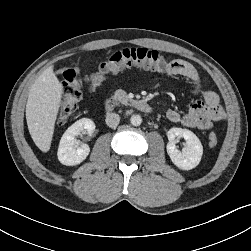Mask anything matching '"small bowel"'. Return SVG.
<instances>
[{
	"label": "small bowel",
	"mask_w": 251,
	"mask_h": 251,
	"mask_svg": "<svg viewBox=\"0 0 251 251\" xmlns=\"http://www.w3.org/2000/svg\"><path fill=\"white\" fill-rule=\"evenodd\" d=\"M166 73L171 77L182 76L190 80L194 90L202 94V99L195 101L184 113L169 109L166 117L170 122H180L188 128L209 130L213 122L224 117L218 95L214 91L205 89L198 71L191 63L181 59L173 60ZM103 78L102 74L94 75L89 82L88 91H93Z\"/></svg>",
	"instance_id": "obj_1"
}]
</instances>
